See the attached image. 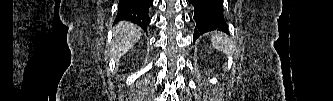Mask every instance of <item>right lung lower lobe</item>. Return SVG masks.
Listing matches in <instances>:
<instances>
[{"label": "right lung lower lobe", "mask_w": 333, "mask_h": 101, "mask_svg": "<svg viewBox=\"0 0 333 101\" xmlns=\"http://www.w3.org/2000/svg\"><path fill=\"white\" fill-rule=\"evenodd\" d=\"M153 0H120L115 22L127 20L140 26L144 31L150 22L149 7Z\"/></svg>", "instance_id": "1"}]
</instances>
